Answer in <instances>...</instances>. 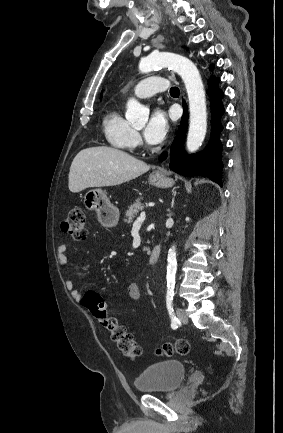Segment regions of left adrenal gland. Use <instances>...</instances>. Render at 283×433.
Returning <instances> with one entry per match:
<instances>
[{
	"label": "left adrenal gland",
	"instance_id": "a2214340",
	"mask_svg": "<svg viewBox=\"0 0 283 433\" xmlns=\"http://www.w3.org/2000/svg\"><path fill=\"white\" fill-rule=\"evenodd\" d=\"M174 198H172V206H173Z\"/></svg>",
	"mask_w": 283,
	"mask_h": 433
}]
</instances>
